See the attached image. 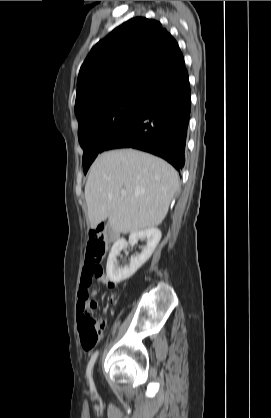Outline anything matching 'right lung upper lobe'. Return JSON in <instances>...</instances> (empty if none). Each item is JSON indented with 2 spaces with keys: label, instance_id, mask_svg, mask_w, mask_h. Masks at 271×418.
<instances>
[{
  "label": "right lung upper lobe",
  "instance_id": "cb5924a9",
  "mask_svg": "<svg viewBox=\"0 0 271 418\" xmlns=\"http://www.w3.org/2000/svg\"><path fill=\"white\" fill-rule=\"evenodd\" d=\"M185 69L183 54L160 22L133 18L90 51L77 80L75 113L121 94L151 99Z\"/></svg>",
  "mask_w": 271,
  "mask_h": 418
}]
</instances>
